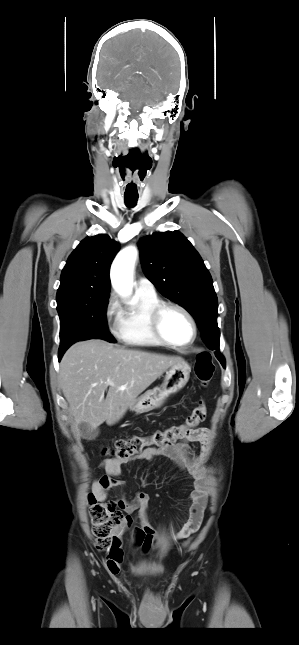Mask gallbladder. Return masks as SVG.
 I'll return each mask as SVG.
<instances>
[{
  "label": "gallbladder",
  "instance_id": "gallbladder-1",
  "mask_svg": "<svg viewBox=\"0 0 299 645\" xmlns=\"http://www.w3.org/2000/svg\"><path fill=\"white\" fill-rule=\"evenodd\" d=\"M78 430L80 432V435L82 438L86 440H93L95 439L98 434H99V429H91L90 426L87 423H80L78 425Z\"/></svg>",
  "mask_w": 299,
  "mask_h": 645
}]
</instances>
